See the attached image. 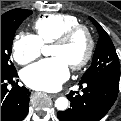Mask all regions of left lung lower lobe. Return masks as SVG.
Here are the masks:
<instances>
[{
    "label": "left lung lower lobe",
    "mask_w": 121,
    "mask_h": 121,
    "mask_svg": "<svg viewBox=\"0 0 121 121\" xmlns=\"http://www.w3.org/2000/svg\"><path fill=\"white\" fill-rule=\"evenodd\" d=\"M80 84L83 95L71 91L67 96L71 101L70 108L58 112L60 121H99L114 104L119 82L107 79H92ZM78 93V92H77Z\"/></svg>",
    "instance_id": "obj_1"
}]
</instances>
